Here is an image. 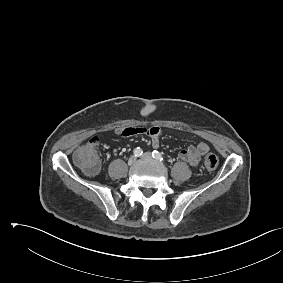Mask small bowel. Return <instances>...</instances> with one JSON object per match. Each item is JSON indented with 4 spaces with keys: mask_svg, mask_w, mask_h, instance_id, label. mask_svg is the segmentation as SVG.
I'll return each instance as SVG.
<instances>
[{
    "mask_svg": "<svg viewBox=\"0 0 283 283\" xmlns=\"http://www.w3.org/2000/svg\"><path fill=\"white\" fill-rule=\"evenodd\" d=\"M116 133L121 137L145 134L150 137L152 146L157 147L159 145V139L161 137L162 131L159 127H121L116 130ZM208 150V144L205 141H200L196 145H190L187 148L181 150L178 154V157L184 162H187L192 166H196L200 162L202 156L206 154Z\"/></svg>",
    "mask_w": 283,
    "mask_h": 283,
    "instance_id": "c3829d8e",
    "label": "small bowel"
}]
</instances>
